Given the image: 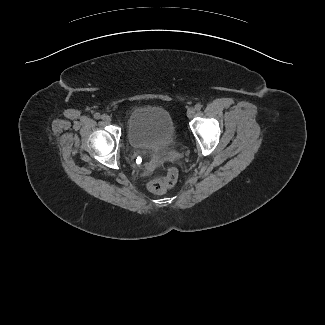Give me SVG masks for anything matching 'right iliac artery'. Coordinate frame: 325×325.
<instances>
[{
	"mask_svg": "<svg viewBox=\"0 0 325 325\" xmlns=\"http://www.w3.org/2000/svg\"><path fill=\"white\" fill-rule=\"evenodd\" d=\"M94 118H95V119H100V118H101V115H100L99 113H95V114H94Z\"/></svg>",
	"mask_w": 325,
	"mask_h": 325,
	"instance_id": "82829eb1",
	"label": "right iliac artery"
}]
</instances>
